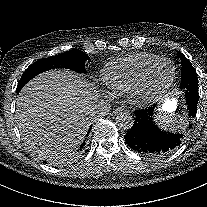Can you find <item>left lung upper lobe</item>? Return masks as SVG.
Wrapping results in <instances>:
<instances>
[{"instance_id":"1","label":"left lung upper lobe","mask_w":207,"mask_h":207,"mask_svg":"<svg viewBox=\"0 0 207 207\" xmlns=\"http://www.w3.org/2000/svg\"><path fill=\"white\" fill-rule=\"evenodd\" d=\"M178 55H180L182 63L180 87L186 90V100H189L190 92L195 91L198 94V77L190 61L182 53L178 52ZM195 97L198 98V95Z\"/></svg>"}]
</instances>
